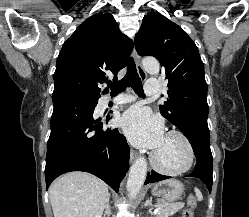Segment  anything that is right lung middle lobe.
Here are the masks:
<instances>
[{
    "label": "right lung middle lobe",
    "mask_w": 249,
    "mask_h": 217,
    "mask_svg": "<svg viewBox=\"0 0 249 217\" xmlns=\"http://www.w3.org/2000/svg\"><path fill=\"white\" fill-rule=\"evenodd\" d=\"M70 93H74V92H70ZM78 96H82V97H85V98H88L90 100H93V99H96L97 97H93V96H87V95H83V94H80V93H74Z\"/></svg>",
    "instance_id": "1"
}]
</instances>
